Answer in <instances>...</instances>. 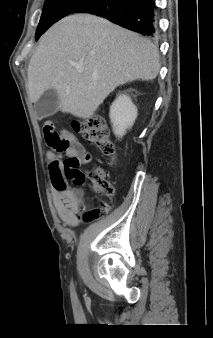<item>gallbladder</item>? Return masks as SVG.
I'll list each match as a JSON object with an SVG mask.
<instances>
[{"label":"gallbladder","mask_w":213,"mask_h":338,"mask_svg":"<svg viewBox=\"0 0 213 338\" xmlns=\"http://www.w3.org/2000/svg\"><path fill=\"white\" fill-rule=\"evenodd\" d=\"M59 103L60 100L57 91L53 88L46 90L34 104L36 116L42 119L53 115L57 111Z\"/></svg>","instance_id":"1"}]
</instances>
